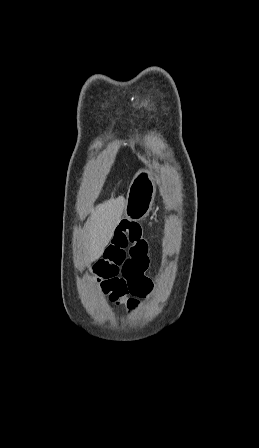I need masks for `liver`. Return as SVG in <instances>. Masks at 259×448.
Returning a JSON list of instances; mask_svg holds the SVG:
<instances>
[{
  "label": "liver",
  "mask_w": 259,
  "mask_h": 448,
  "mask_svg": "<svg viewBox=\"0 0 259 448\" xmlns=\"http://www.w3.org/2000/svg\"><path fill=\"white\" fill-rule=\"evenodd\" d=\"M124 208L125 198L123 196L111 198L108 202L91 208L84 242V248L87 250L91 262H95L102 256L107 244L114 236V230L122 218Z\"/></svg>",
  "instance_id": "obj_1"
}]
</instances>
